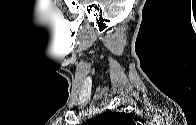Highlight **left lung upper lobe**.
<instances>
[{
	"instance_id": "5c2ea615",
	"label": "left lung upper lobe",
	"mask_w": 196,
	"mask_h": 125,
	"mask_svg": "<svg viewBox=\"0 0 196 125\" xmlns=\"http://www.w3.org/2000/svg\"><path fill=\"white\" fill-rule=\"evenodd\" d=\"M92 125H133L132 118L126 113L106 112L90 121Z\"/></svg>"
}]
</instances>
